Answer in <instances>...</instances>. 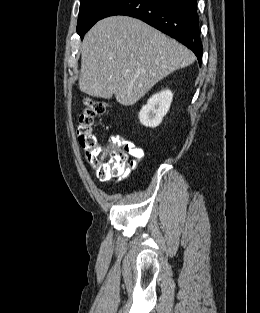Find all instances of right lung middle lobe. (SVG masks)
<instances>
[{"label": "right lung middle lobe", "mask_w": 260, "mask_h": 313, "mask_svg": "<svg viewBox=\"0 0 260 313\" xmlns=\"http://www.w3.org/2000/svg\"><path fill=\"white\" fill-rule=\"evenodd\" d=\"M117 0H81L77 33L84 34L98 21Z\"/></svg>", "instance_id": "dd1d6c3e"}]
</instances>
